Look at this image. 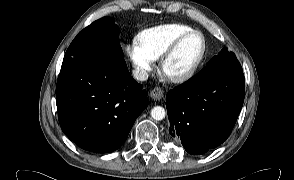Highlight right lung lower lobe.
<instances>
[{
	"label": "right lung lower lobe",
	"instance_id": "obj_1",
	"mask_svg": "<svg viewBox=\"0 0 294 180\" xmlns=\"http://www.w3.org/2000/svg\"><path fill=\"white\" fill-rule=\"evenodd\" d=\"M56 104L67 137L84 150L108 153L127 139L148 99L130 76L123 55H102L61 67Z\"/></svg>",
	"mask_w": 294,
	"mask_h": 180
}]
</instances>
